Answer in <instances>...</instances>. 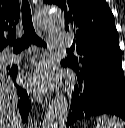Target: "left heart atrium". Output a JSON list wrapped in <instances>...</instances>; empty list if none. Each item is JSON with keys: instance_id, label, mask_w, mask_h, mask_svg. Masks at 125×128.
I'll return each instance as SVG.
<instances>
[{"instance_id": "39dd6f15", "label": "left heart atrium", "mask_w": 125, "mask_h": 128, "mask_svg": "<svg viewBox=\"0 0 125 128\" xmlns=\"http://www.w3.org/2000/svg\"><path fill=\"white\" fill-rule=\"evenodd\" d=\"M26 82L38 93H45L59 84V77L51 65L42 64L28 75Z\"/></svg>"}]
</instances>
